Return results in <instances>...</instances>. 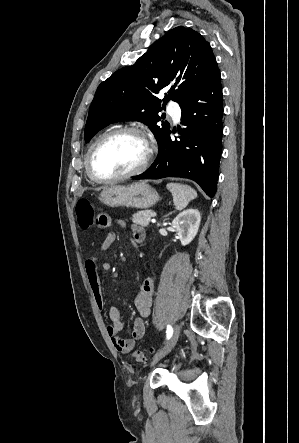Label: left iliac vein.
<instances>
[{
    "mask_svg": "<svg viewBox=\"0 0 299 443\" xmlns=\"http://www.w3.org/2000/svg\"><path fill=\"white\" fill-rule=\"evenodd\" d=\"M180 336V327L178 325H175L174 330H173V334L169 340V342L165 345V347L159 351L157 354H155V356L152 359L151 365L155 364L156 362H158L161 358H163L165 355H167L172 348L176 345L178 339Z\"/></svg>",
    "mask_w": 299,
    "mask_h": 443,
    "instance_id": "left-iliac-vein-1",
    "label": "left iliac vein"
}]
</instances>
